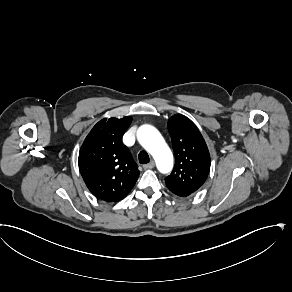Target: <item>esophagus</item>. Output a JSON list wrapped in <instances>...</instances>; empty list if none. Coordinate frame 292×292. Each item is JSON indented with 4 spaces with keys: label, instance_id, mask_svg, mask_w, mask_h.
Returning <instances> with one entry per match:
<instances>
[{
    "label": "esophagus",
    "instance_id": "1",
    "mask_svg": "<svg viewBox=\"0 0 292 292\" xmlns=\"http://www.w3.org/2000/svg\"><path fill=\"white\" fill-rule=\"evenodd\" d=\"M155 166V162L152 160L150 163L143 165L144 169H151Z\"/></svg>",
    "mask_w": 292,
    "mask_h": 292
}]
</instances>
